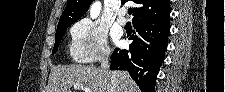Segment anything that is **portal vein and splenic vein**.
I'll use <instances>...</instances> for the list:
<instances>
[{
    "instance_id": "portal-vein-and-splenic-vein-1",
    "label": "portal vein and splenic vein",
    "mask_w": 225,
    "mask_h": 92,
    "mask_svg": "<svg viewBox=\"0 0 225 92\" xmlns=\"http://www.w3.org/2000/svg\"><path fill=\"white\" fill-rule=\"evenodd\" d=\"M74 88H75V89H84V90H85V92H91V89H90V88H88V87H87V86H85V85L75 84V85H74Z\"/></svg>"
}]
</instances>
